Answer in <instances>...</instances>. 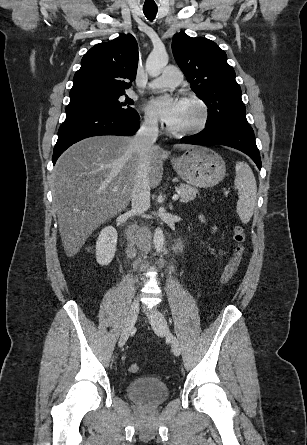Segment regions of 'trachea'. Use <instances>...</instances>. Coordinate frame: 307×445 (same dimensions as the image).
I'll return each instance as SVG.
<instances>
[{"mask_svg":"<svg viewBox=\"0 0 307 445\" xmlns=\"http://www.w3.org/2000/svg\"><path fill=\"white\" fill-rule=\"evenodd\" d=\"M157 7H143V12L149 20H153L157 14Z\"/></svg>","mask_w":307,"mask_h":445,"instance_id":"3493384b","label":"trachea"}]
</instances>
